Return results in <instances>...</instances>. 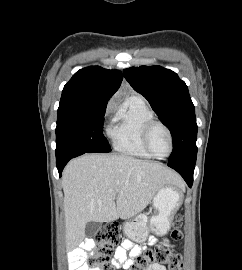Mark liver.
<instances>
[{
    "label": "liver",
    "instance_id": "liver-1",
    "mask_svg": "<svg viewBox=\"0 0 242 270\" xmlns=\"http://www.w3.org/2000/svg\"><path fill=\"white\" fill-rule=\"evenodd\" d=\"M170 184L183 187L178 174L156 162L97 153L71 160L62 175L67 247L83 240L88 222L132 218Z\"/></svg>",
    "mask_w": 242,
    "mask_h": 270
}]
</instances>
